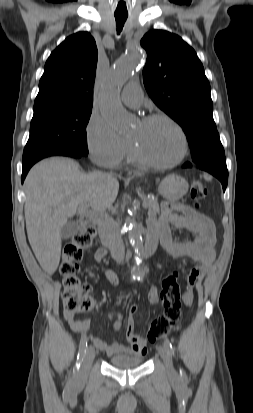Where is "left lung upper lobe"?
Instances as JSON below:
<instances>
[{"label": "left lung upper lobe", "mask_w": 253, "mask_h": 413, "mask_svg": "<svg viewBox=\"0 0 253 413\" xmlns=\"http://www.w3.org/2000/svg\"><path fill=\"white\" fill-rule=\"evenodd\" d=\"M141 46L147 52L145 88L154 103L184 130L193 162H226L213 120L210 84L196 52L164 30H151Z\"/></svg>", "instance_id": "5c2ea615"}]
</instances>
